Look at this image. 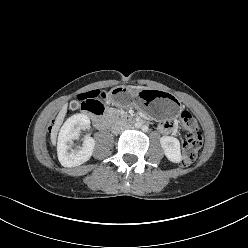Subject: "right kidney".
Wrapping results in <instances>:
<instances>
[{"label": "right kidney", "mask_w": 248, "mask_h": 248, "mask_svg": "<svg viewBox=\"0 0 248 248\" xmlns=\"http://www.w3.org/2000/svg\"><path fill=\"white\" fill-rule=\"evenodd\" d=\"M90 119L85 114H76L66 120L62 126L57 143L58 159L64 167H75L87 162L93 153L95 140L85 137L81 147L72 149L73 141L79 137V131L88 127Z\"/></svg>", "instance_id": "right-kidney-1"}]
</instances>
